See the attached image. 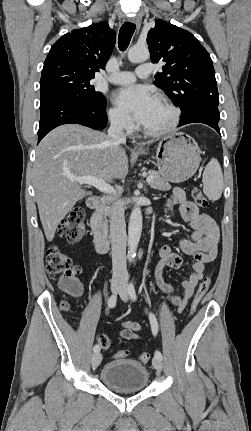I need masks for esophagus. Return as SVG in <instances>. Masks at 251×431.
<instances>
[{"instance_id": "1", "label": "esophagus", "mask_w": 251, "mask_h": 431, "mask_svg": "<svg viewBox=\"0 0 251 431\" xmlns=\"http://www.w3.org/2000/svg\"><path fill=\"white\" fill-rule=\"evenodd\" d=\"M129 21H130L131 23H133V24H135V25H136L137 30H139V29H140V26H141V20H140L138 17H131V18L129 19ZM135 149H138V147H135Z\"/></svg>"}]
</instances>
